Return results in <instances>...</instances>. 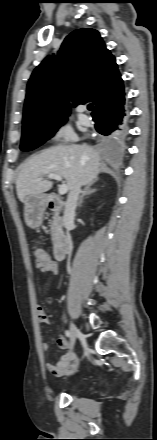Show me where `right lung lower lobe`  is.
<instances>
[{
	"mask_svg": "<svg viewBox=\"0 0 157 440\" xmlns=\"http://www.w3.org/2000/svg\"><path fill=\"white\" fill-rule=\"evenodd\" d=\"M92 116L98 133L106 137L122 138L126 134L128 120L124 94L112 98L100 109L93 111Z\"/></svg>",
	"mask_w": 157,
	"mask_h": 440,
	"instance_id": "98d812e1",
	"label": "right lung lower lobe"
}]
</instances>
